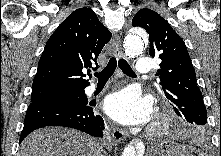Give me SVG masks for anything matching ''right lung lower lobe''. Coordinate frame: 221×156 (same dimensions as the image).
I'll return each mask as SVG.
<instances>
[{"mask_svg":"<svg viewBox=\"0 0 221 156\" xmlns=\"http://www.w3.org/2000/svg\"><path fill=\"white\" fill-rule=\"evenodd\" d=\"M96 101L85 105L31 103L27 109L19 143L32 131L45 126H64L102 137L104 121L95 114Z\"/></svg>","mask_w":221,"mask_h":156,"instance_id":"98d812e1","label":"right lung lower lobe"}]
</instances>
